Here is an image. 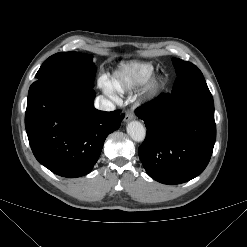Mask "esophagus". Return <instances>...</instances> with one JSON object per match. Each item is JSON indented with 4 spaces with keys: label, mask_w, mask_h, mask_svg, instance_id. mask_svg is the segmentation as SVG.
<instances>
[{
    "label": "esophagus",
    "mask_w": 247,
    "mask_h": 247,
    "mask_svg": "<svg viewBox=\"0 0 247 247\" xmlns=\"http://www.w3.org/2000/svg\"><path fill=\"white\" fill-rule=\"evenodd\" d=\"M133 119H135V114L133 112H127V114L125 115L124 121L128 122Z\"/></svg>",
    "instance_id": "34e87169"
}]
</instances>
